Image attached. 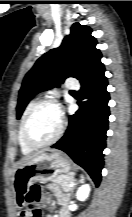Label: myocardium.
<instances>
[{
	"label": "myocardium",
	"mask_w": 132,
	"mask_h": 217,
	"mask_svg": "<svg viewBox=\"0 0 132 217\" xmlns=\"http://www.w3.org/2000/svg\"><path fill=\"white\" fill-rule=\"evenodd\" d=\"M44 105H51V106L55 107L56 110L58 111V113L60 115L59 128H58V131L55 134V136L52 139H50L49 141L44 142V143H34L33 141L30 140V138L28 136V126H29V123H30L32 117L36 113V111ZM64 128H65V118H64V114H63L59 104L54 99H42L33 105V107L31 108V110L29 111V113L27 114V116L24 120V123L22 126V140H23L24 144L27 147H29L30 149H33V150L42 149V148L48 147V146L56 143L61 138V136L64 132Z\"/></svg>",
	"instance_id": "f54148a6"
}]
</instances>
